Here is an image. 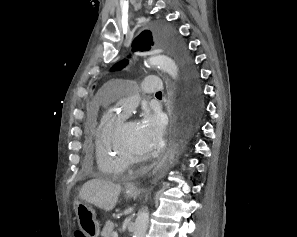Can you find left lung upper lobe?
Segmentation results:
<instances>
[{"instance_id":"left-lung-upper-lobe-1","label":"left lung upper lobe","mask_w":297,"mask_h":237,"mask_svg":"<svg viewBox=\"0 0 297 237\" xmlns=\"http://www.w3.org/2000/svg\"><path fill=\"white\" fill-rule=\"evenodd\" d=\"M163 44L173 52L181 62L184 79V96L190 97L197 105H201V87L197 72L187 56L185 46L178 39L176 32L164 25H157L154 32L143 31L132 43L133 51L149 50L154 44ZM128 64L127 60L117 63L113 71L121 70Z\"/></svg>"}]
</instances>
